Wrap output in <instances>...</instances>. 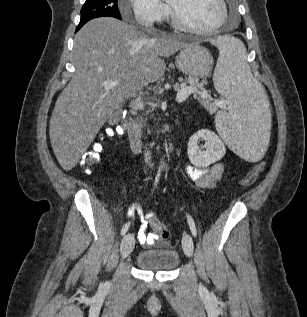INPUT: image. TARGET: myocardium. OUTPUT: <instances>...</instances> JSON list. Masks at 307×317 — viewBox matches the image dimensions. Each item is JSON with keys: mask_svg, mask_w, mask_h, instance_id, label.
<instances>
[{"mask_svg": "<svg viewBox=\"0 0 307 317\" xmlns=\"http://www.w3.org/2000/svg\"><path fill=\"white\" fill-rule=\"evenodd\" d=\"M217 1L220 5L221 15H220L219 20L216 22V24L210 28L197 29V28H193L191 26H188L179 18V16L175 12L174 8L168 3L170 22L174 28H176L179 31L185 32V33L198 35V36L211 35L223 26V24L225 23L227 16H228V8H227L226 1L225 0H217Z\"/></svg>", "mask_w": 307, "mask_h": 317, "instance_id": "1", "label": "myocardium"}]
</instances>
